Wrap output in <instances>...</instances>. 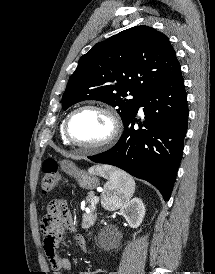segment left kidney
<instances>
[{"label":"left kidney","instance_id":"obj_1","mask_svg":"<svg viewBox=\"0 0 215 274\" xmlns=\"http://www.w3.org/2000/svg\"><path fill=\"white\" fill-rule=\"evenodd\" d=\"M120 214L131 228H138L145 216V206L141 199L134 198L121 208Z\"/></svg>","mask_w":215,"mask_h":274}]
</instances>
